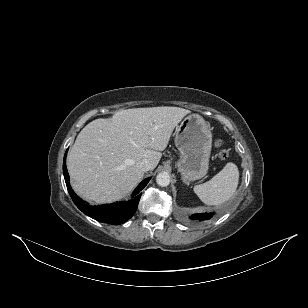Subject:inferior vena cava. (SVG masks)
I'll use <instances>...</instances> for the list:
<instances>
[{
  "mask_svg": "<svg viewBox=\"0 0 308 308\" xmlns=\"http://www.w3.org/2000/svg\"><path fill=\"white\" fill-rule=\"evenodd\" d=\"M137 168L143 172L151 169V163L147 159H143L136 164Z\"/></svg>",
  "mask_w": 308,
  "mask_h": 308,
  "instance_id": "inferior-vena-cava-1",
  "label": "inferior vena cava"
}]
</instances>
